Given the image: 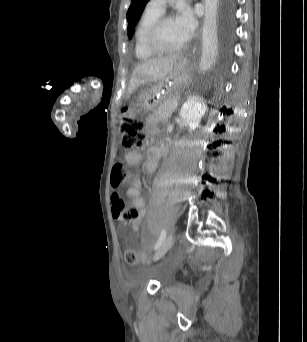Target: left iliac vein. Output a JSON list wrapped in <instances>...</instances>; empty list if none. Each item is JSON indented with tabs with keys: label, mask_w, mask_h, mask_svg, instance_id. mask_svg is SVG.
I'll return each instance as SVG.
<instances>
[{
	"label": "left iliac vein",
	"mask_w": 307,
	"mask_h": 342,
	"mask_svg": "<svg viewBox=\"0 0 307 342\" xmlns=\"http://www.w3.org/2000/svg\"><path fill=\"white\" fill-rule=\"evenodd\" d=\"M173 237H174V234L173 232H171L166 237V239L162 242V244L160 245V247L158 248V250L153 256V259L155 261H158L159 259H161L166 254V252L171 248L173 244Z\"/></svg>",
	"instance_id": "left-iliac-vein-1"
}]
</instances>
